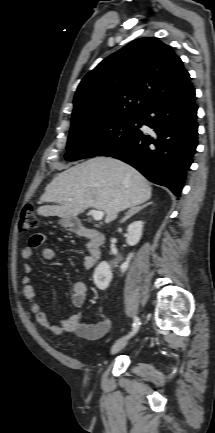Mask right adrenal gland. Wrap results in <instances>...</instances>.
<instances>
[{
    "label": "right adrenal gland",
    "instance_id": "right-adrenal-gland-1",
    "mask_svg": "<svg viewBox=\"0 0 215 433\" xmlns=\"http://www.w3.org/2000/svg\"><path fill=\"white\" fill-rule=\"evenodd\" d=\"M152 202L146 203L142 206H138V207H133L131 208L127 213L126 216L120 221V223H124L126 220H128L130 217H132L133 215H135L137 212H139L140 210H142L143 208L151 205Z\"/></svg>",
    "mask_w": 215,
    "mask_h": 433
}]
</instances>
